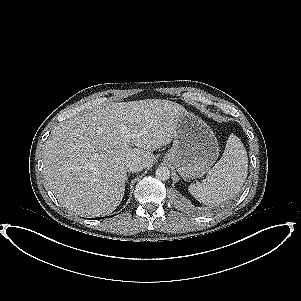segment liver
<instances>
[{
  "label": "liver",
  "mask_w": 301,
  "mask_h": 301,
  "mask_svg": "<svg viewBox=\"0 0 301 301\" xmlns=\"http://www.w3.org/2000/svg\"><path fill=\"white\" fill-rule=\"evenodd\" d=\"M185 113L174 102L134 101L78 116L47 139L45 180L65 208L85 216L109 214L123 199L126 165L151 167V152L172 141Z\"/></svg>",
  "instance_id": "6515ba94"
}]
</instances>
